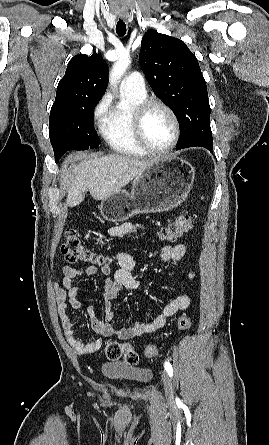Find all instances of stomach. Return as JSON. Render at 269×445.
<instances>
[{
	"mask_svg": "<svg viewBox=\"0 0 269 445\" xmlns=\"http://www.w3.org/2000/svg\"><path fill=\"white\" fill-rule=\"evenodd\" d=\"M194 170L175 157L156 160L135 177L131 193L120 190L102 200L100 212L119 223L140 213H160L182 204L193 184Z\"/></svg>",
	"mask_w": 269,
	"mask_h": 445,
	"instance_id": "obj_1",
	"label": "stomach"
}]
</instances>
